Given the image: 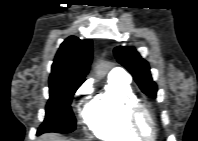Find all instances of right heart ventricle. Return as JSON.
I'll list each match as a JSON object with an SVG mask.
<instances>
[{
    "mask_svg": "<svg viewBox=\"0 0 198 141\" xmlns=\"http://www.w3.org/2000/svg\"><path fill=\"white\" fill-rule=\"evenodd\" d=\"M135 99L129 82L108 78L105 90L86 106L83 121L102 140L138 141L128 125L126 111Z\"/></svg>",
    "mask_w": 198,
    "mask_h": 141,
    "instance_id": "1",
    "label": "right heart ventricle"
}]
</instances>
